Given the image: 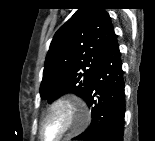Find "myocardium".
<instances>
[{
  "label": "myocardium",
  "mask_w": 155,
  "mask_h": 141,
  "mask_svg": "<svg viewBox=\"0 0 155 141\" xmlns=\"http://www.w3.org/2000/svg\"><path fill=\"white\" fill-rule=\"evenodd\" d=\"M59 114L64 121L63 130L53 139L44 137L43 127L49 119ZM87 109L79 101L70 97H57L53 99L42 111L39 120V137L46 141H61L80 131L88 122Z\"/></svg>",
  "instance_id": "obj_1"
}]
</instances>
